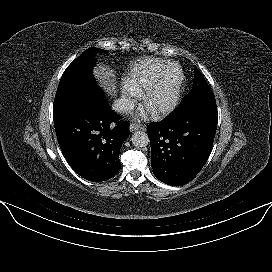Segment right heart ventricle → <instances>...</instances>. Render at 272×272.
Returning <instances> with one entry per match:
<instances>
[{"label":"right heart ventricle","mask_w":272,"mask_h":272,"mask_svg":"<svg viewBox=\"0 0 272 272\" xmlns=\"http://www.w3.org/2000/svg\"><path fill=\"white\" fill-rule=\"evenodd\" d=\"M170 62L158 58H145L135 63L126 76L123 83L125 88L140 94L161 73Z\"/></svg>","instance_id":"obj_1"}]
</instances>
